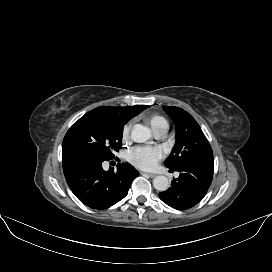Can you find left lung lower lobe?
Returning a JSON list of instances; mask_svg holds the SVG:
<instances>
[{
	"label": "left lung lower lobe",
	"instance_id": "left-lung-lower-lobe-1",
	"mask_svg": "<svg viewBox=\"0 0 272 272\" xmlns=\"http://www.w3.org/2000/svg\"><path fill=\"white\" fill-rule=\"evenodd\" d=\"M176 171L180 176L171 187L159 193L160 199L177 210H186L201 201L207 193L213 178V157L187 162Z\"/></svg>",
	"mask_w": 272,
	"mask_h": 272
}]
</instances>
